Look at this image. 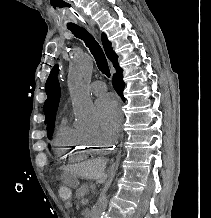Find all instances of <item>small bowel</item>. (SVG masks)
<instances>
[{
    "label": "small bowel",
    "instance_id": "obj_1",
    "mask_svg": "<svg viewBox=\"0 0 211 218\" xmlns=\"http://www.w3.org/2000/svg\"><path fill=\"white\" fill-rule=\"evenodd\" d=\"M65 205H66L67 208H70V207H72V202L71 201H67L65 203Z\"/></svg>",
    "mask_w": 211,
    "mask_h": 218
}]
</instances>
